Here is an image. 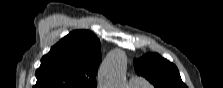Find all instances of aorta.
<instances>
[{"label": "aorta", "instance_id": "aorta-1", "mask_svg": "<svg viewBox=\"0 0 223 88\" xmlns=\"http://www.w3.org/2000/svg\"><path fill=\"white\" fill-rule=\"evenodd\" d=\"M126 64V55L122 50L109 53L100 68L101 88H124Z\"/></svg>", "mask_w": 223, "mask_h": 88}]
</instances>
